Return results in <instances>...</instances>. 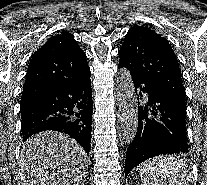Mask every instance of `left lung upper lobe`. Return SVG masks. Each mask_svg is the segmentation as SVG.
I'll list each match as a JSON object with an SVG mask.
<instances>
[{"label": "left lung upper lobe", "mask_w": 207, "mask_h": 185, "mask_svg": "<svg viewBox=\"0 0 207 185\" xmlns=\"http://www.w3.org/2000/svg\"><path fill=\"white\" fill-rule=\"evenodd\" d=\"M120 67L132 77L150 81L179 104L186 106L179 63L167 40L150 28L135 26L126 34L119 50Z\"/></svg>", "instance_id": "5c2ea615"}]
</instances>
